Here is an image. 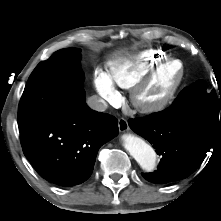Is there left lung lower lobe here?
Masks as SVG:
<instances>
[{"label":"left lung lower lobe","instance_id":"0a47b994","mask_svg":"<svg viewBox=\"0 0 221 221\" xmlns=\"http://www.w3.org/2000/svg\"><path fill=\"white\" fill-rule=\"evenodd\" d=\"M131 129L143 136L161 155L158 170L142 173L152 183L184 179L203 162L206 153L221 140V117L217 115H167L165 111L144 119H129Z\"/></svg>","mask_w":221,"mask_h":221}]
</instances>
